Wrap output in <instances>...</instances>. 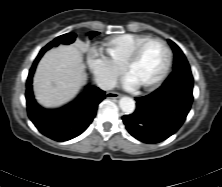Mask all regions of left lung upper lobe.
<instances>
[{"label": "left lung upper lobe", "mask_w": 222, "mask_h": 187, "mask_svg": "<svg viewBox=\"0 0 222 187\" xmlns=\"http://www.w3.org/2000/svg\"><path fill=\"white\" fill-rule=\"evenodd\" d=\"M173 52H174V65L173 72L178 71L183 68H190L188 61L183 54L182 50L171 40H168Z\"/></svg>", "instance_id": "5c2ea615"}]
</instances>
